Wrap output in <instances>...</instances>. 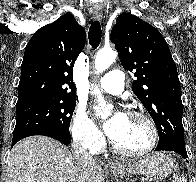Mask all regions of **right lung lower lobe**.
I'll use <instances>...</instances> for the list:
<instances>
[{
  "label": "right lung lower lobe",
  "mask_w": 196,
  "mask_h": 182,
  "mask_svg": "<svg viewBox=\"0 0 196 182\" xmlns=\"http://www.w3.org/2000/svg\"><path fill=\"white\" fill-rule=\"evenodd\" d=\"M32 135H44V136H49L52 137L58 141H60L61 143L68 145L71 142V138L66 137L65 135H63L62 133L58 132V131H54V130H49V129H35V130H31L28 132H24L22 134L16 135L13 137L12 140V147L21 139L28 137V136H32Z\"/></svg>",
  "instance_id": "obj_1"
}]
</instances>
